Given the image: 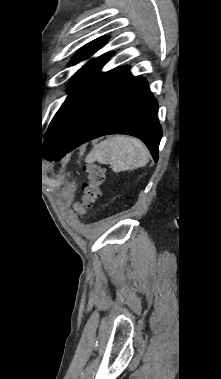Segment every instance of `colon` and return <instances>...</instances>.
<instances>
[{
  "mask_svg": "<svg viewBox=\"0 0 221 379\" xmlns=\"http://www.w3.org/2000/svg\"><path fill=\"white\" fill-rule=\"evenodd\" d=\"M88 181L83 184V196L81 202L77 205V212L81 215L92 206L93 203L101 196V186L105 181V171L95 165L88 164L84 168Z\"/></svg>",
  "mask_w": 221,
  "mask_h": 379,
  "instance_id": "obj_1",
  "label": "colon"
}]
</instances>
